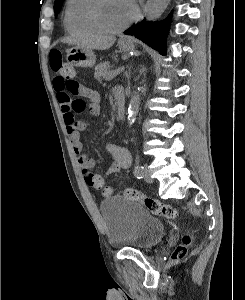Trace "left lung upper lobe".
Here are the masks:
<instances>
[{"label":"left lung upper lobe","mask_w":245,"mask_h":300,"mask_svg":"<svg viewBox=\"0 0 245 300\" xmlns=\"http://www.w3.org/2000/svg\"><path fill=\"white\" fill-rule=\"evenodd\" d=\"M64 0H55V3H54V12L57 14L59 13L61 7H62V4H63Z\"/></svg>","instance_id":"1"}]
</instances>
